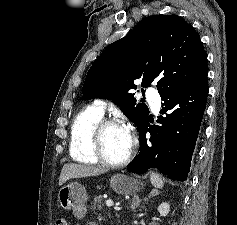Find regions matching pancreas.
Wrapping results in <instances>:
<instances>
[{
	"label": "pancreas",
	"instance_id": "cf45deb5",
	"mask_svg": "<svg viewBox=\"0 0 237 225\" xmlns=\"http://www.w3.org/2000/svg\"><path fill=\"white\" fill-rule=\"evenodd\" d=\"M102 205H103V197L99 195L94 198L91 208L93 210H95L96 208L101 209Z\"/></svg>",
	"mask_w": 237,
	"mask_h": 225
}]
</instances>
